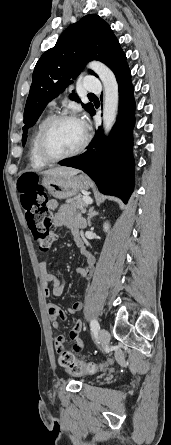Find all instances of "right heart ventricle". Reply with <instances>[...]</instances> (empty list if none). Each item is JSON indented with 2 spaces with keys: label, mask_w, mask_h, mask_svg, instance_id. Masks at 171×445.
Segmentation results:
<instances>
[{
  "label": "right heart ventricle",
  "mask_w": 171,
  "mask_h": 445,
  "mask_svg": "<svg viewBox=\"0 0 171 445\" xmlns=\"http://www.w3.org/2000/svg\"><path fill=\"white\" fill-rule=\"evenodd\" d=\"M52 117V113L48 112L38 123L33 136L31 138V143H30V149H29V160H30V164L32 167L34 168H41L44 167L47 163L45 161H43L37 152V140H38V136L39 133L43 127V125L46 123L47 120H49Z\"/></svg>",
  "instance_id": "obj_1"
}]
</instances>
